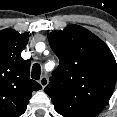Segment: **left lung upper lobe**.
Wrapping results in <instances>:
<instances>
[{
  "label": "left lung upper lobe",
  "mask_w": 117,
  "mask_h": 117,
  "mask_svg": "<svg viewBox=\"0 0 117 117\" xmlns=\"http://www.w3.org/2000/svg\"><path fill=\"white\" fill-rule=\"evenodd\" d=\"M60 64L44 89L64 117H95L109 101L117 64L108 46L89 30L70 25L48 34Z\"/></svg>",
  "instance_id": "5c2ea615"
}]
</instances>
